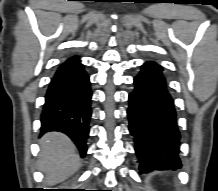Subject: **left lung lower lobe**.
I'll return each mask as SVG.
<instances>
[{
    "label": "left lung lower lobe",
    "instance_id": "0a47b994",
    "mask_svg": "<svg viewBox=\"0 0 218 191\" xmlns=\"http://www.w3.org/2000/svg\"><path fill=\"white\" fill-rule=\"evenodd\" d=\"M162 71L157 63L146 62L129 94V131L140 173L181 167L176 111Z\"/></svg>",
    "mask_w": 218,
    "mask_h": 191
}]
</instances>
